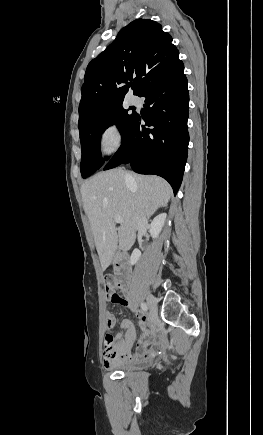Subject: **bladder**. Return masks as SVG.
<instances>
[{
	"instance_id": "bladder-1",
	"label": "bladder",
	"mask_w": 263,
	"mask_h": 435,
	"mask_svg": "<svg viewBox=\"0 0 263 435\" xmlns=\"http://www.w3.org/2000/svg\"><path fill=\"white\" fill-rule=\"evenodd\" d=\"M148 363H149V361H147V360L126 363V364L120 365V370H124V371L140 370V369H143Z\"/></svg>"
}]
</instances>
